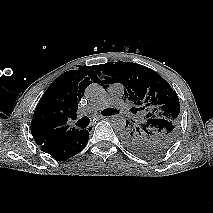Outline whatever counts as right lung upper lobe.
Segmentation results:
<instances>
[{
	"label": "right lung upper lobe",
	"instance_id": "obj_1",
	"mask_svg": "<svg viewBox=\"0 0 213 213\" xmlns=\"http://www.w3.org/2000/svg\"><path fill=\"white\" fill-rule=\"evenodd\" d=\"M83 69L63 73L39 100L31 121V133L40 147L63 144L79 133L75 128H70L67 121L77 118L78 102L86 87L92 80L99 81L94 70Z\"/></svg>",
	"mask_w": 213,
	"mask_h": 213
}]
</instances>
